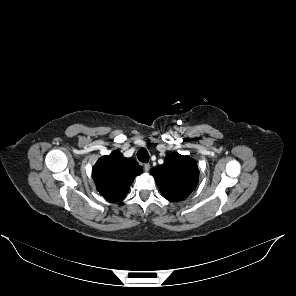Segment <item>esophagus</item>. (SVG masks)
Masks as SVG:
<instances>
[{
	"label": "esophagus",
	"mask_w": 296,
	"mask_h": 296,
	"mask_svg": "<svg viewBox=\"0 0 296 296\" xmlns=\"http://www.w3.org/2000/svg\"><path fill=\"white\" fill-rule=\"evenodd\" d=\"M144 170L146 172H148L150 170V164L149 163L144 164Z\"/></svg>",
	"instance_id": "esophagus-1"
}]
</instances>
